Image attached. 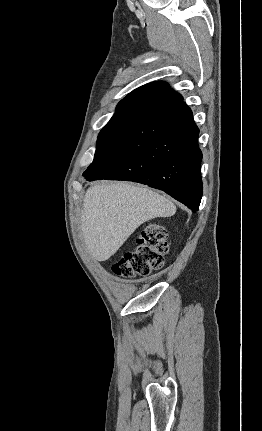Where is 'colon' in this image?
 Masks as SVG:
<instances>
[{
    "instance_id": "5ec220e1",
    "label": "colon",
    "mask_w": 262,
    "mask_h": 431,
    "mask_svg": "<svg viewBox=\"0 0 262 431\" xmlns=\"http://www.w3.org/2000/svg\"><path fill=\"white\" fill-rule=\"evenodd\" d=\"M167 251L165 229L158 223H147L137 235L135 246L115 261L112 271L126 279L146 277L163 267Z\"/></svg>"
}]
</instances>
